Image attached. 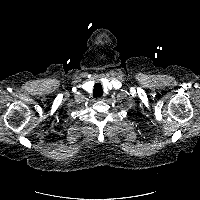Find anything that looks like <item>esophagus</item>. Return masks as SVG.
I'll use <instances>...</instances> for the list:
<instances>
[{"instance_id": "1", "label": "esophagus", "mask_w": 200, "mask_h": 200, "mask_svg": "<svg viewBox=\"0 0 200 200\" xmlns=\"http://www.w3.org/2000/svg\"><path fill=\"white\" fill-rule=\"evenodd\" d=\"M98 100H104V98H99Z\"/></svg>"}]
</instances>
